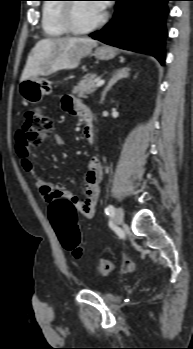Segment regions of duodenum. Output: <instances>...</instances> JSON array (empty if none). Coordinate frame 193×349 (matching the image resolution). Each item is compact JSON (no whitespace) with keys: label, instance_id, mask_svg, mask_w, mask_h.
Masks as SVG:
<instances>
[{"label":"duodenum","instance_id":"obj_1","mask_svg":"<svg viewBox=\"0 0 193 349\" xmlns=\"http://www.w3.org/2000/svg\"><path fill=\"white\" fill-rule=\"evenodd\" d=\"M84 116H85L86 125L88 127H92V115L88 109L85 111Z\"/></svg>","mask_w":193,"mask_h":349}]
</instances>
